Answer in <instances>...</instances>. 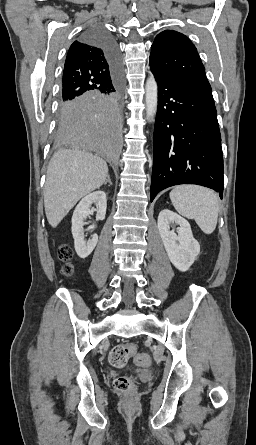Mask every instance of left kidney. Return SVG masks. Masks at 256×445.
I'll use <instances>...</instances> for the list:
<instances>
[{
	"instance_id": "1",
	"label": "left kidney",
	"mask_w": 256,
	"mask_h": 445,
	"mask_svg": "<svg viewBox=\"0 0 256 445\" xmlns=\"http://www.w3.org/2000/svg\"><path fill=\"white\" fill-rule=\"evenodd\" d=\"M176 224L177 234L170 230ZM158 231L171 263L182 272L187 271L200 253V245L193 237L190 224L175 212L164 209L158 216Z\"/></svg>"
}]
</instances>
